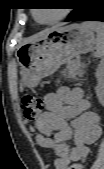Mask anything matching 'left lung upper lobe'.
I'll use <instances>...</instances> for the list:
<instances>
[{"label":"left lung upper lobe","mask_w":104,"mask_h":169,"mask_svg":"<svg viewBox=\"0 0 104 169\" xmlns=\"http://www.w3.org/2000/svg\"><path fill=\"white\" fill-rule=\"evenodd\" d=\"M75 6H78V3H76ZM76 9H77V8H74V11H75ZM74 11H73V12H74ZM73 12H72V13H73ZM72 13H71V14H72Z\"/></svg>","instance_id":"left-lung-upper-lobe-1"}]
</instances>
